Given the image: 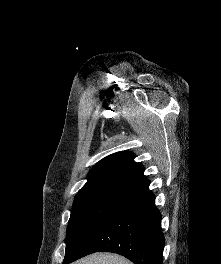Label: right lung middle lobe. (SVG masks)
<instances>
[{"label": "right lung middle lobe", "mask_w": 221, "mask_h": 264, "mask_svg": "<svg viewBox=\"0 0 221 264\" xmlns=\"http://www.w3.org/2000/svg\"><path fill=\"white\" fill-rule=\"evenodd\" d=\"M124 191V188L105 187L78 192L66 231L64 260L75 255L83 247Z\"/></svg>", "instance_id": "right-lung-middle-lobe-1"}]
</instances>
